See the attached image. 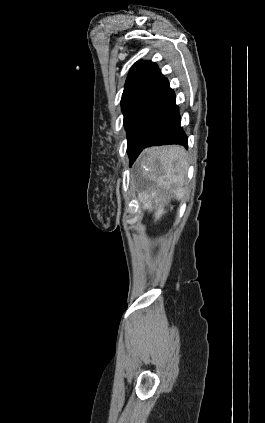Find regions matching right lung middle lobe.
<instances>
[{
  "label": "right lung middle lobe",
  "mask_w": 265,
  "mask_h": 423,
  "mask_svg": "<svg viewBox=\"0 0 265 423\" xmlns=\"http://www.w3.org/2000/svg\"><path fill=\"white\" fill-rule=\"evenodd\" d=\"M146 97L147 96L143 95L132 96L121 101L122 112L124 115V126L126 130L130 127L135 114L144 103Z\"/></svg>",
  "instance_id": "obj_1"
}]
</instances>
